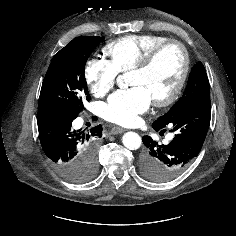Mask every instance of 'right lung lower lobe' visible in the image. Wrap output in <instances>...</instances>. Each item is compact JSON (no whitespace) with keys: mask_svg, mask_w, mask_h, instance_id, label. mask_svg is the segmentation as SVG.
<instances>
[{"mask_svg":"<svg viewBox=\"0 0 236 236\" xmlns=\"http://www.w3.org/2000/svg\"><path fill=\"white\" fill-rule=\"evenodd\" d=\"M78 115L57 110H38L39 139L44 153L58 172L72 182H78L81 168L97 158L102 126L84 133L72 128Z\"/></svg>","mask_w":236,"mask_h":236,"instance_id":"98d812e1","label":"right lung lower lobe"}]
</instances>
